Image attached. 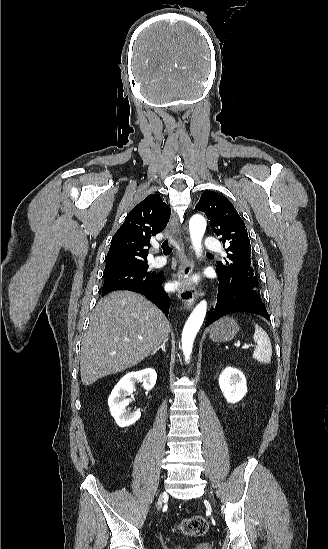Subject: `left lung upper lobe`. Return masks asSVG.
Instances as JSON below:
<instances>
[{"label":"left lung upper lobe","instance_id":"left-lung-upper-lobe-1","mask_svg":"<svg viewBox=\"0 0 328 549\" xmlns=\"http://www.w3.org/2000/svg\"><path fill=\"white\" fill-rule=\"evenodd\" d=\"M195 208L207 215L214 233L227 247L225 262H217V273L228 279L258 282L251 263L247 229L232 203L223 195L205 191Z\"/></svg>","mask_w":328,"mask_h":549}]
</instances>
